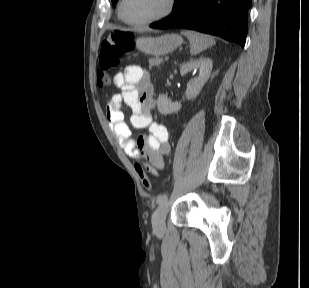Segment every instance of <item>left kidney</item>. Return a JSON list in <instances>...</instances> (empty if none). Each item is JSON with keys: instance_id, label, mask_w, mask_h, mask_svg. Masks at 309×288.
<instances>
[{"instance_id": "left-kidney-1", "label": "left kidney", "mask_w": 309, "mask_h": 288, "mask_svg": "<svg viewBox=\"0 0 309 288\" xmlns=\"http://www.w3.org/2000/svg\"><path fill=\"white\" fill-rule=\"evenodd\" d=\"M193 70H199V75L187 86L185 93L187 100L195 98L209 79L212 71V60L204 57L190 60L181 66L180 73L184 76ZM157 107L161 114L167 115L179 111L181 109V104L172 102L166 95L160 94L157 99Z\"/></svg>"}]
</instances>
